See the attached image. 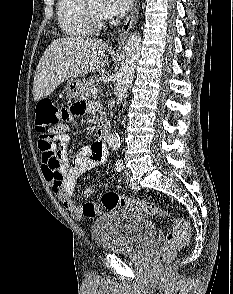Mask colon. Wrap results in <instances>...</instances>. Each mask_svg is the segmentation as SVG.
<instances>
[{
  "label": "colon",
  "mask_w": 233,
  "mask_h": 294,
  "mask_svg": "<svg viewBox=\"0 0 233 294\" xmlns=\"http://www.w3.org/2000/svg\"><path fill=\"white\" fill-rule=\"evenodd\" d=\"M57 120H62L60 108L56 107L49 99L40 100L36 107L35 127L39 133V146L41 148L49 149L55 135L64 130L61 129V125L56 124ZM101 203L106 209L126 206L137 209L149 216H170L167 210L162 209L153 202L127 199L114 192L105 193L102 196ZM99 209L100 206L97 204H87L85 206V212L88 214L98 212ZM189 236L190 227L188 222L180 217L174 218L173 226L166 236L165 243L158 252V263L163 264L175 250L184 246L188 242Z\"/></svg>",
  "instance_id": "obj_1"
}]
</instances>
